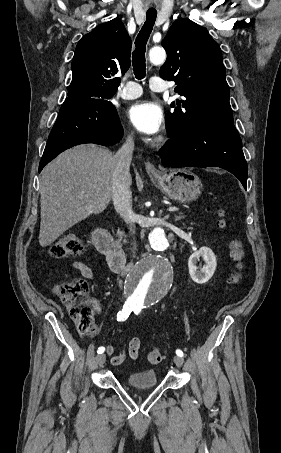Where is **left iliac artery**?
Instances as JSON below:
<instances>
[{
	"label": "left iliac artery",
	"mask_w": 281,
	"mask_h": 453,
	"mask_svg": "<svg viewBox=\"0 0 281 453\" xmlns=\"http://www.w3.org/2000/svg\"><path fill=\"white\" fill-rule=\"evenodd\" d=\"M141 309H143V306L142 305H133V311L135 314H139ZM176 354L180 357L183 356V352L181 350H176Z\"/></svg>",
	"instance_id": "obj_1"
}]
</instances>
